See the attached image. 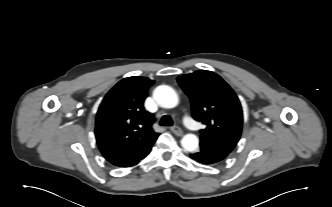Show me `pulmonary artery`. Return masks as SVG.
<instances>
[{"label": "pulmonary artery", "instance_id": "obj_1", "mask_svg": "<svg viewBox=\"0 0 332 207\" xmlns=\"http://www.w3.org/2000/svg\"><path fill=\"white\" fill-rule=\"evenodd\" d=\"M189 128L192 129V130H194L196 127H195V125L190 124V125H189Z\"/></svg>", "mask_w": 332, "mask_h": 207}]
</instances>
